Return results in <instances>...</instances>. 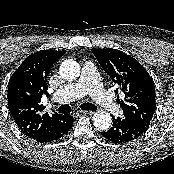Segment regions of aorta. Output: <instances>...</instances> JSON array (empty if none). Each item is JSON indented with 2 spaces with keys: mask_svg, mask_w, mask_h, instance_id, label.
Returning a JSON list of instances; mask_svg holds the SVG:
<instances>
[{
  "mask_svg": "<svg viewBox=\"0 0 174 174\" xmlns=\"http://www.w3.org/2000/svg\"><path fill=\"white\" fill-rule=\"evenodd\" d=\"M60 76L68 81L77 79L80 75V65L73 59L64 60L59 68ZM94 126L99 130H107L112 124V118L106 111H98L93 116Z\"/></svg>",
  "mask_w": 174,
  "mask_h": 174,
  "instance_id": "762f6f07",
  "label": "aorta"
}]
</instances>
